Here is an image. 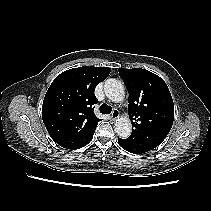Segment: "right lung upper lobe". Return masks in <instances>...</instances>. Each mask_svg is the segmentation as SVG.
Listing matches in <instances>:
<instances>
[{"label":"right lung upper lobe","mask_w":211,"mask_h":211,"mask_svg":"<svg viewBox=\"0 0 211 211\" xmlns=\"http://www.w3.org/2000/svg\"><path fill=\"white\" fill-rule=\"evenodd\" d=\"M107 67H78L58 75L43 101L42 119L51 138L66 149H79L93 137L98 122L93 105L95 87L105 80Z\"/></svg>","instance_id":"1"}]
</instances>
